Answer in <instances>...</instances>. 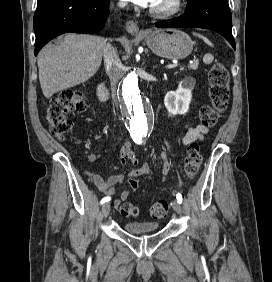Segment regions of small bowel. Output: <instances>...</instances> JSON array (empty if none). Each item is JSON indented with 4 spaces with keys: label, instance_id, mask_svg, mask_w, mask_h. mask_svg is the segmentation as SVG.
Masks as SVG:
<instances>
[{
    "label": "small bowel",
    "instance_id": "1",
    "mask_svg": "<svg viewBox=\"0 0 272 282\" xmlns=\"http://www.w3.org/2000/svg\"><path fill=\"white\" fill-rule=\"evenodd\" d=\"M208 132V127L204 125L199 126H191L187 129L186 133L182 138V145L186 146L193 143L196 140H199ZM120 141V138H117L113 141L112 145L117 146ZM167 157L166 152H162L160 155V159L164 161L163 168H162V180L166 179L167 174L170 170V165L165 161ZM120 164L121 166H126L128 163H131L134 166L140 164L139 159L137 158L136 154L132 150L131 143H127L121 150H120ZM152 172L150 164L145 161L141 164L140 167L131 170L130 176L131 177H139L144 174H150ZM92 182L98 188L100 192L105 195H112L115 192L116 186L123 182V176L121 174L113 175L107 179H104L98 173H94L92 175ZM133 190H137L139 188V183L136 184H129ZM129 197L128 191H123L120 195L119 199H116L114 202L115 207H119L123 202H126Z\"/></svg>",
    "mask_w": 272,
    "mask_h": 282
}]
</instances>
